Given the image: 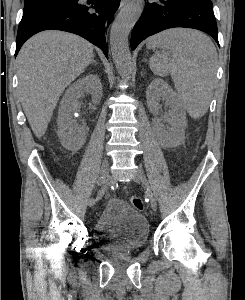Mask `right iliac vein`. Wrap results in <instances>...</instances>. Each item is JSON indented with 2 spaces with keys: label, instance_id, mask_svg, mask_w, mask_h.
Returning <instances> with one entry per match:
<instances>
[{
  "label": "right iliac vein",
  "instance_id": "63e3f726",
  "mask_svg": "<svg viewBox=\"0 0 245 300\" xmlns=\"http://www.w3.org/2000/svg\"><path fill=\"white\" fill-rule=\"evenodd\" d=\"M108 171H109V161L108 158H104L102 161V165H101V177L103 179V177H108ZM88 205L89 206H94L95 205V201L94 198H90L88 200Z\"/></svg>",
  "mask_w": 245,
  "mask_h": 300
}]
</instances>
